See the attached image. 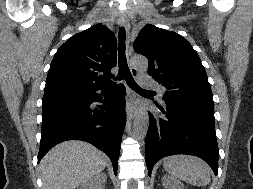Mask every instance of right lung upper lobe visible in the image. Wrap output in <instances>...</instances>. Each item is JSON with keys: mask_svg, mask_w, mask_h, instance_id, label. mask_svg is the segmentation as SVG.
Here are the masks:
<instances>
[{"mask_svg": "<svg viewBox=\"0 0 253 189\" xmlns=\"http://www.w3.org/2000/svg\"><path fill=\"white\" fill-rule=\"evenodd\" d=\"M116 55V38L102 24L75 34L54 55L44 94L110 85Z\"/></svg>", "mask_w": 253, "mask_h": 189, "instance_id": "cb5924a9", "label": "right lung upper lobe"}]
</instances>
